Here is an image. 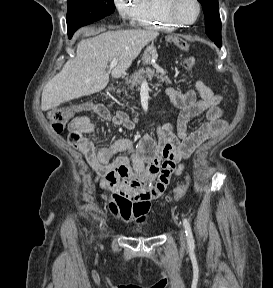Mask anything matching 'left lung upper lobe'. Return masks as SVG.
<instances>
[{"label":"left lung upper lobe","mask_w":273,"mask_h":288,"mask_svg":"<svg viewBox=\"0 0 273 288\" xmlns=\"http://www.w3.org/2000/svg\"><path fill=\"white\" fill-rule=\"evenodd\" d=\"M203 7L205 16L206 34L215 43L221 40V20L219 15L218 0H198Z\"/></svg>","instance_id":"left-lung-upper-lobe-1"}]
</instances>
